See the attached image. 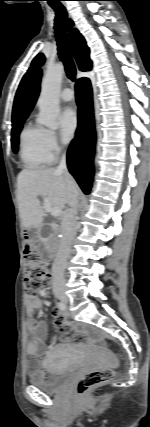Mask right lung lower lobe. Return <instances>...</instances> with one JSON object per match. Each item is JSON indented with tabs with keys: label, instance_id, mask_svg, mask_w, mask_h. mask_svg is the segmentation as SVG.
Returning <instances> with one entry per match:
<instances>
[{
	"label": "right lung lower lobe",
	"instance_id": "98d812e1",
	"mask_svg": "<svg viewBox=\"0 0 150 427\" xmlns=\"http://www.w3.org/2000/svg\"><path fill=\"white\" fill-rule=\"evenodd\" d=\"M75 88L79 107L78 128L67 152V164L81 189L88 194L93 176L92 160L95 144L92 90L89 79H79Z\"/></svg>",
	"mask_w": 150,
	"mask_h": 427
}]
</instances>
